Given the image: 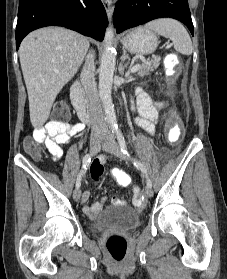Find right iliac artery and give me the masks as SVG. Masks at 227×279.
<instances>
[{
	"mask_svg": "<svg viewBox=\"0 0 227 279\" xmlns=\"http://www.w3.org/2000/svg\"><path fill=\"white\" fill-rule=\"evenodd\" d=\"M91 157H92L91 154H86L83 158V166H82V169L79 172V174L77 176V180H76V189H79L81 186L82 175L85 174V172L89 166V163L91 162Z\"/></svg>",
	"mask_w": 227,
	"mask_h": 279,
	"instance_id": "82829eb1",
	"label": "right iliac artery"
}]
</instances>
